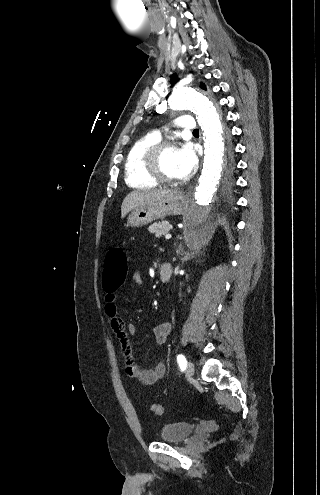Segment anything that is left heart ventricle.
<instances>
[{
  "mask_svg": "<svg viewBox=\"0 0 320 495\" xmlns=\"http://www.w3.org/2000/svg\"><path fill=\"white\" fill-rule=\"evenodd\" d=\"M178 148H167L161 155L160 166L162 172L170 177L179 178V171L177 168L176 154Z\"/></svg>",
  "mask_w": 320,
  "mask_h": 495,
  "instance_id": "1",
  "label": "left heart ventricle"
}]
</instances>
